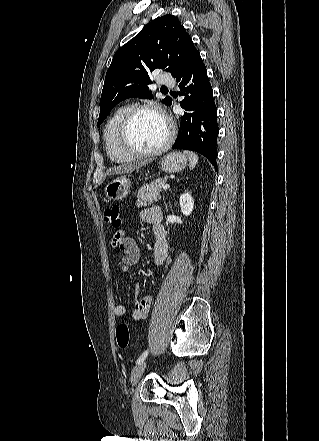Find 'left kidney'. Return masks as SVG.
<instances>
[{
	"label": "left kidney",
	"instance_id": "1",
	"mask_svg": "<svg viewBox=\"0 0 319 441\" xmlns=\"http://www.w3.org/2000/svg\"><path fill=\"white\" fill-rule=\"evenodd\" d=\"M181 212L185 216H189L194 209V200L189 192H186L180 196Z\"/></svg>",
	"mask_w": 319,
	"mask_h": 441
}]
</instances>
